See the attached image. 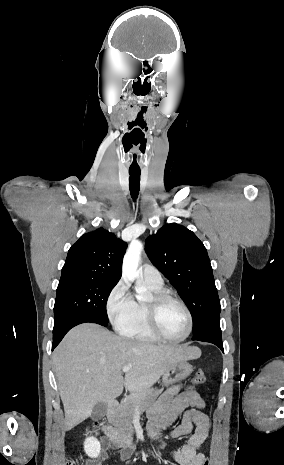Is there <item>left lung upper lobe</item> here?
Wrapping results in <instances>:
<instances>
[{
	"mask_svg": "<svg viewBox=\"0 0 284 465\" xmlns=\"http://www.w3.org/2000/svg\"><path fill=\"white\" fill-rule=\"evenodd\" d=\"M146 253L186 302L193 318V334L219 324L220 300L207 250L184 226L166 224L145 241Z\"/></svg>",
	"mask_w": 284,
	"mask_h": 465,
	"instance_id": "5c2ea615",
	"label": "left lung upper lobe"
}]
</instances>
